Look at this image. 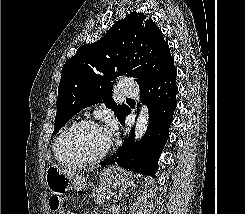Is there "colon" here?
<instances>
[{"mask_svg":"<svg viewBox=\"0 0 245 214\" xmlns=\"http://www.w3.org/2000/svg\"><path fill=\"white\" fill-rule=\"evenodd\" d=\"M50 207L56 214H71L72 212L65 211L60 208V203L58 199H51L50 200Z\"/></svg>","mask_w":245,"mask_h":214,"instance_id":"colon-1","label":"colon"}]
</instances>
